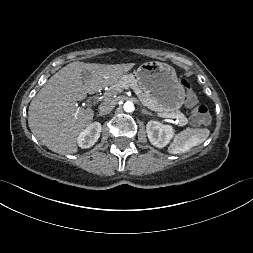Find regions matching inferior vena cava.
I'll return each mask as SVG.
<instances>
[{"mask_svg":"<svg viewBox=\"0 0 253 253\" xmlns=\"http://www.w3.org/2000/svg\"><path fill=\"white\" fill-rule=\"evenodd\" d=\"M116 101L115 100H106L99 106V114L105 115L112 111L115 107Z\"/></svg>","mask_w":253,"mask_h":253,"instance_id":"1","label":"inferior vena cava"}]
</instances>
